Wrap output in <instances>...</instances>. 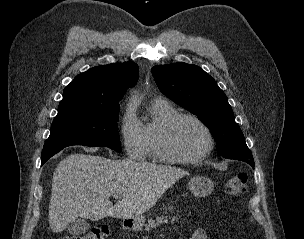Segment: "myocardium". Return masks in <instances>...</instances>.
<instances>
[{
	"label": "myocardium",
	"mask_w": 304,
	"mask_h": 239,
	"mask_svg": "<svg viewBox=\"0 0 304 239\" xmlns=\"http://www.w3.org/2000/svg\"><path fill=\"white\" fill-rule=\"evenodd\" d=\"M183 119H190L196 122L204 131L207 144L206 147L197 155L182 156L177 154L171 147V134L175 126ZM214 146V138L208 125L200 119L197 115L187 112H178L170 117L162 126L158 141L157 148L160 156L165 162L177 164H192L204 160L212 151Z\"/></svg>",
	"instance_id": "f54148a6"
}]
</instances>
